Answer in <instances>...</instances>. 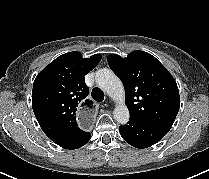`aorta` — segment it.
Here are the masks:
<instances>
[{"label": "aorta", "instance_id": "aorta-1", "mask_svg": "<svg viewBox=\"0 0 209 179\" xmlns=\"http://www.w3.org/2000/svg\"><path fill=\"white\" fill-rule=\"evenodd\" d=\"M96 83L101 90L106 92L116 103L114 119L120 124L129 121V110L125 105V91L121 80L110 69H99L95 75Z\"/></svg>", "mask_w": 209, "mask_h": 179}]
</instances>
